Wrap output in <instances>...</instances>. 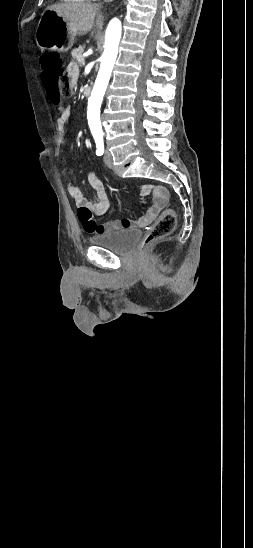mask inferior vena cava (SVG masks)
<instances>
[{
    "label": "inferior vena cava",
    "instance_id": "1",
    "mask_svg": "<svg viewBox=\"0 0 253 548\" xmlns=\"http://www.w3.org/2000/svg\"><path fill=\"white\" fill-rule=\"evenodd\" d=\"M112 0H104V2H111Z\"/></svg>",
    "mask_w": 253,
    "mask_h": 548
}]
</instances>
